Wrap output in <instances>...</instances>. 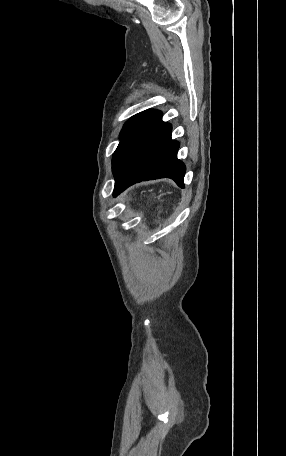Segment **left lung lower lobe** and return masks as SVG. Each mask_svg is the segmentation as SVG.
I'll return each instance as SVG.
<instances>
[{
    "label": "left lung lower lobe",
    "instance_id": "1",
    "mask_svg": "<svg viewBox=\"0 0 286 456\" xmlns=\"http://www.w3.org/2000/svg\"><path fill=\"white\" fill-rule=\"evenodd\" d=\"M149 125L129 147L116 174L114 196L142 180L169 177L181 188L185 165L177 159L179 143L171 139V124L161 119Z\"/></svg>",
    "mask_w": 286,
    "mask_h": 456
}]
</instances>
